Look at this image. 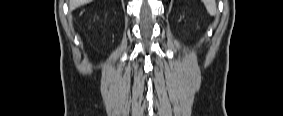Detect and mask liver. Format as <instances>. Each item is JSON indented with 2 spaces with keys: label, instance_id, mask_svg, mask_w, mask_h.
I'll list each match as a JSON object with an SVG mask.
<instances>
[{
  "label": "liver",
  "instance_id": "6515ba94",
  "mask_svg": "<svg viewBox=\"0 0 283 116\" xmlns=\"http://www.w3.org/2000/svg\"><path fill=\"white\" fill-rule=\"evenodd\" d=\"M92 0H69V8L71 10L81 6V5H84V4H87L89 2H91Z\"/></svg>",
  "mask_w": 283,
  "mask_h": 116
}]
</instances>
